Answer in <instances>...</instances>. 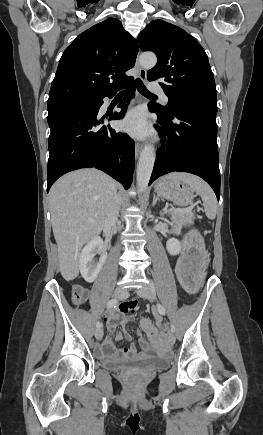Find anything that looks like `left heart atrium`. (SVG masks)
I'll return each mask as SVG.
<instances>
[{
    "label": "left heart atrium",
    "mask_w": 263,
    "mask_h": 435,
    "mask_svg": "<svg viewBox=\"0 0 263 435\" xmlns=\"http://www.w3.org/2000/svg\"><path fill=\"white\" fill-rule=\"evenodd\" d=\"M122 129L130 135L143 138L149 134L145 113L141 109L130 111L121 122Z\"/></svg>",
    "instance_id": "1"
}]
</instances>
